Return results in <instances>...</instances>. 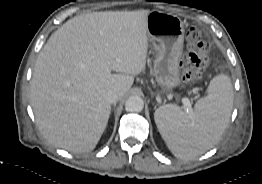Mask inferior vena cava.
Masks as SVG:
<instances>
[{
    "instance_id": "inferior-vena-cava-1",
    "label": "inferior vena cava",
    "mask_w": 262,
    "mask_h": 184,
    "mask_svg": "<svg viewBox=\"0 0 262 184\" xmlns=\"http://www.w3.org/2000/svg\"><path fill=\"white\" fill-rule=\"evenodd\" d=\"M119 99H120V96L116 90H109L106 93V100L110 104H115Z\"/></svg>"
}]
</instances>
